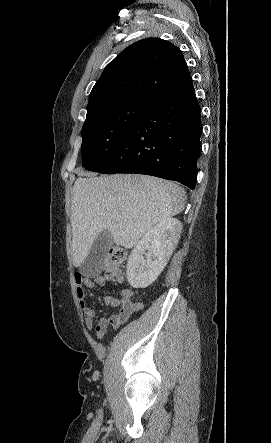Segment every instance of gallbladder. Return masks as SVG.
<instances>
[{"label": "gallbladder", "instance_id": "gallbladder-1", "mask_svg": "<svg viewBox=\"0 0 271 443\" xmlns=\"http://www.w3.org/2000/svg\"><path fill=\"white\" fill-rule=\"evenodd\" d=\"M111 247H114V239L110 231H101L96 237L91 251H87V259L80 260L79 269L86 277H93L94 273H103L108 269V260H111Z\"/></svg>", "mask_w": 271, "mask_h": 443}]
</instances>
